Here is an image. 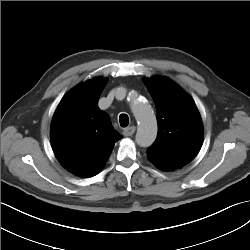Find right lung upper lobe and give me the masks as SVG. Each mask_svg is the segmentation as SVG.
I'll use <instances>...</instances> for the list:
<instances>
[{
    "label": "right lung upper lobe",
    "instance_id": "right-lung-upper-lobe-1",
    "mask_svg": "<svg viewBox=\"0 0 250 250\" xmlns=\"http://www.w3.org/2000/svg\"><path fill=\"white\" fill-rule=\"evenodd\" d=\"M106 83V79L95 78L76 86L61 100L52 119L54 154L65 169L78 176L97 174L122 138L98 108Z\"/></svg>",
    "mask_w": 250,
    "mask_h": 250
}]
</instances>
